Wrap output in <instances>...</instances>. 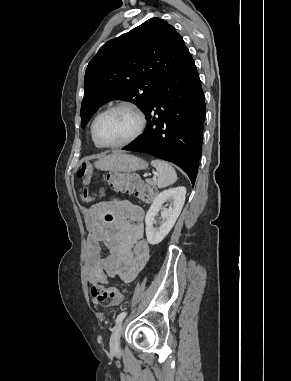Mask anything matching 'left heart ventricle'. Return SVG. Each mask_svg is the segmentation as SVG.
<instances>
[{
  "label": "left heart ventricle",
  "mask_w": 291,
  "mask_h": 381,
  "mask_svg": "<svg viewBox=\"0 0 291 381\" xmlns=\"http://www.w3.org/2000/svg\"><path fill=\"white\" fill-rule=\"evenodd\" d=\"M138 119L128 109H117L103 116L97 124L99 138L109 144L129 138L136 130Z\"/></svg>",
  "instance_id": "1"
}]
</instances>
